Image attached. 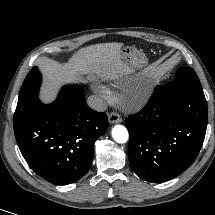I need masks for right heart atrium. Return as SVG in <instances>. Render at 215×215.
I'll return each mask as SVG.
<instances>
[{
    "label": "right heart atrium",
    "instance_id": "obj_1",
    "mask_svg": "<svg viewBox=\"0 0 215 215\" xmlns=\"http://www.w3.org/2000/svg\"><path fill=\"white\" fill-rule=\"evenodd\" d=\"M98 91L102 94L103 97H105V98H108V97H109L108 90H107L105 87L100 86V87L98 88Z\"/></svg>",
    "mask_w": 215,
    "mask_h": 215
}]
</instances>
